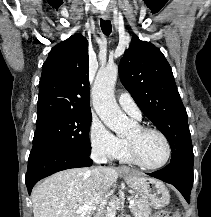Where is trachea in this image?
Wrapping results in <instances>:
<instances>
[{
    "label": "trachea",
    "mask_w": 211,
    "mask_h": 217,
    "mask_svg": "<svg viewBox=\"0 0 211 217\" xmlns=\"http://www.w3.org/2000/svg\"><path fill=\"white\" fill-rule=\"evenodd\" d=\"M100 26H101L102 32L105 35H107V36L110 35V33L112 31V25H111L110 20L100 19Z\"/></svg>",
    "instance_id": "trachea-1"
}]
</instances>
